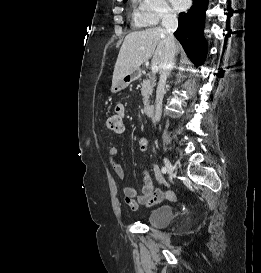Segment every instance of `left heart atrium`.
<instances>
[{
    "label": "left heart atrium",
    "instance_id": "left-heart-atrium-1",
    "mask_svg": "<svg viewBox=\"0 0 261 273\" xmlns=\"http://www.w3.org/2000/svg\"><path fill=\"white\" fill-rule=\"evenodd\" d=\"M174 6L178 9H183L187 5V0H171Z\"/></svg>",
    "mask_w": 261,
    "mask_h": 273
}]
</instances>
